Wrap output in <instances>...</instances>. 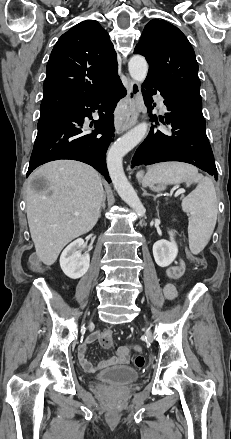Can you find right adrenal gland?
<instances>
[{"mask_svg":"<svg viewBox=\"0 0 231 439\" xmlns=\"http://www.w3.org/2000/svg\"><path fill=\"white\" fill-rule=\"evenodd\" d=\"M105 201H106V195H103V200H102V204H101V209H105ZM101 209H100V216H101Z\"/></svg>","mask_w":231,"mask_h":439,"instance_id":"2a0ac1e0","label":"right adrenal gland"}]
</instances>
